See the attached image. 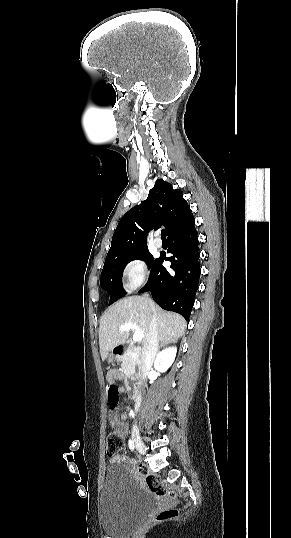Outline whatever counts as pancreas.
Returning a JSON list of instances; mask_svg holds the SVG:
<instances>
[{"label": "pancreas", "instance_id": "cf45deb5", "mask_svg": "<svg viewBox=\"0 0 291 538\" xmlns=\"http://www.w3.org/2000/svg\"><path fill=\"white\" fill-rule=\"evenodd\" d=\"M135 354L132 350H128L121 358L122 368H126L134 360Z\"/></svg>", "mask_w": 291, "mask_h": 538}]
</instances>
